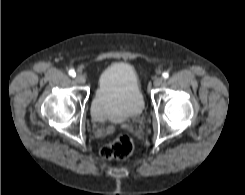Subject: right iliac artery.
Listing matches in <instances>:
<instances>
[{
    "label": "right iliac artery",
    "mask_w": 245,
    "mask_h": 195,
    "mask_svg": "<svg viewBox=\"0 0 245 195\" xmlns=\"http://www.w3.org/2000/svg\"><path fill=\"white\" fill-rule=\"evenodd\" d=\"M69 75L72 76V77H75L76 76V73L73 69L69 70Z\"/></svg>",
    "instance_id": "right-iliac-artery-1"
}]
</instances>
